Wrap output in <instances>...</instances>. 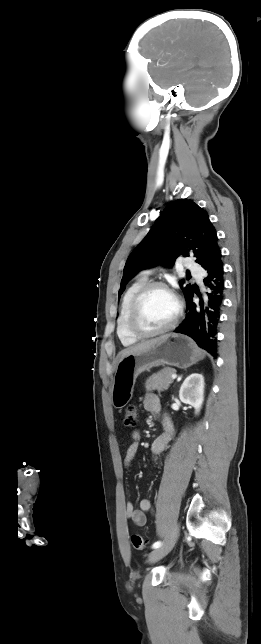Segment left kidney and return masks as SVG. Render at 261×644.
<instances>
[{
	"label": "left kidney",
	"mask_w": 261,
	"mask_h": 644,
	"mask_svg": "<svg viewBox=\"0 0 261 644\" xmlns=\"http://www.w3.org/2000/svg\"><path fill=\"white\" fill-rule=\"evenodd\" d=\"M179 398L195 409L198 414L204 401V377L202 374L193 373L188 376L179 390Z\"/></svg>",
	"instance_id": "5707ae66"
}]
</instances>
